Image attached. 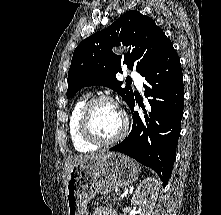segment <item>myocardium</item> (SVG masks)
<instances>
[{
	"label": "myocardium",
	"instance_id": "f54148a6",
	"mask_svg": "<svg viewBox=\"0 0 221 215\" xmlns=\"http://www.w3.org/2000/svg\"><path fill=\"white\" fill-rule=\"evenodd\" d=\"M104 102L112 103L115 106H117L116 101L112 97L107 95H100L89 99L84 104L79 116V131L82 138L88 141L89 143L97 146L111 145L120 141L127 134L129 128L128 117L122 110L119 109L122 115L123 123L120 131L115 136L111 138H103L94 131L92 126L94 109L96 108L97 105Z\"/></svg>",
	"mask_w": 221,
	"mask_h": 215
}]
</instances>
